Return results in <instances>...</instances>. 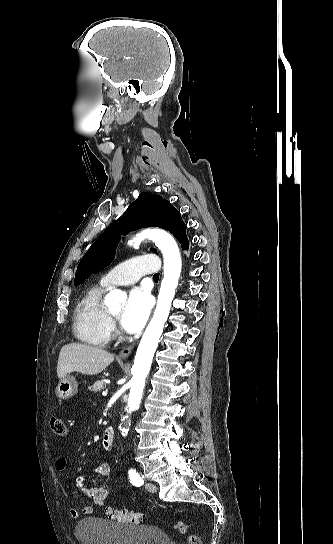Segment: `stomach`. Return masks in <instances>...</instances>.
Returning <instances> with one entry per match:
<instances>
[{"label": "stomach", "mask_w": 333, "mask_h": 544, "mask_svg": "<svg viewBox=\"0 0 333 544\" xmlns=\"http://www.w3.org/2000/svg\"><path fill=\"white\" fill-rule=\"evenodd\" d=\"M78 391V383L73 376H65L56 387V394L61 399H68L74 396Z\"/></svg>", "instance_id": "1"}]
</instances>
